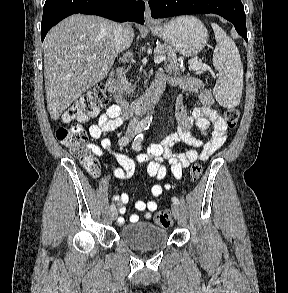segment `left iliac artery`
<instances>
[{
    "mask_svg": "<svg viewBox=\"0 0 288 293\" xmlns=\"http://www.w3.org/2000/svg\"><path fill=\"white\" fill-rule=\"evenodd\" d=\"M143 138H144V136L142 133L136 136V138L134 139L133 145H132L134 150L139 151L141 149V143L143 141ZM172 202L177 205L179 204V200L176 197H172Z\"/></svg>",
    "mask_w": 288,
    "mask_h": 293,
    "instance_id": "left-iliac-artery-1",
    "label": "left iliac artery"
}]
</instances>
